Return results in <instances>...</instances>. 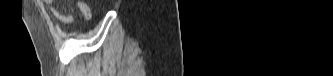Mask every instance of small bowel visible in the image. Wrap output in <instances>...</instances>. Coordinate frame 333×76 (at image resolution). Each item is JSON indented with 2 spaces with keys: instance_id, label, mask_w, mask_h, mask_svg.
<instances>
[{
  "instance_id": "c3829d8e",
  "label": "small bowel",
  "mask_w": 333,
  "mask_h": 76,
  "mask_svg": "<svg viewBox=\"0 0 333 76\" xmlns=\"http://www.w3.org/2000/svg\"><path fill=\"white\" fill-rule=\"evenodd\" d=\"M45 2H46V4L49 5V11H50V13L57 20H59L60 22L71 23L74 20V12L61 13L56 8H54L53 6H51V4L53 3V1L47 0ZM74 4H75V7L83 13V15L86 17V19H90V17H91V9H90V7H89V5L87 3H85L84 1L77 0V1L74 2Z\"/></svg>"
}]
</instances>
